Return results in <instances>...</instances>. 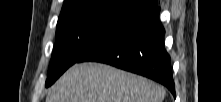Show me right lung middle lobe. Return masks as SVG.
Here are the masks:
<instances>
[{
  "label": "right lung middle lobe",
  "mask_w": 221,
  "mask_h": 102,
  "mask_svg": "<svg viewBox=\"0 0 221 102\" xmlns=\"http://www.w3.org/2000/svg\"><path fill=\"white\" fill-rule=\"evenodd\" d=\"M140 12L120 0H92L61 13L46 87Z\"/></svg>",
  "instance_id": "1"
}]
</instances>
